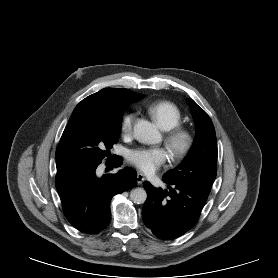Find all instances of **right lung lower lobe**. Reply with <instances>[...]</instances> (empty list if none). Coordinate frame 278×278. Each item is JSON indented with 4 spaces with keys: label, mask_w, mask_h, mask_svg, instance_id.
Segmentation results:
<instances>
[{
    "label": "right lung lower lobe",
    "mask_w": 278,
    "mask_h": 278,
    "mask_svg": "<svg viewBox=\"0 0 278 278\" xmlns=\"http://www.w3.org/2000/svg\"><path fill=\"white\" fill-rule=\"evenodd\" d=\"M108 165L119 167L120 156L109 160ZM98 164L80 165L57 170L55 184L68 221L87 234L100 232L110 222V201L116 194L133 188L137 173L124 168L116 174L96 176Z\"/></svg>",
    "instance_id": "obj_1"
}]
</instances>
